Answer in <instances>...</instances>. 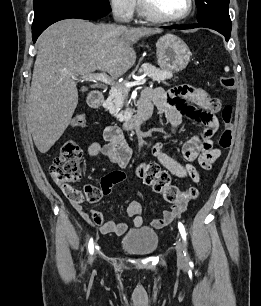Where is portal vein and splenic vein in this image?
<instances>
[{
	"mask_svg": "<svg viewBox=\"0 0 261 306\" xmlns=\"http://www.w3.org/2000/svg\"><path fill=\"white\" fill-rule=\"evenodd\" d=\"M72 79H79V80H88V81H100L104 84H108L111 85L112 87L116 86V83L114 81V79H112L111 77H109L106 73L101 72V73H89L80 77H76V76H71ZM146 83V79H140L137 81H133V82H127L125 83V87H132V86H137V85H142Z\"/></svg>",
	"mask_w": 261,
	"mask_h": 306,
	"instance_id": "18ae733b",
	"label": "portal vein and splenic vein"
}]
</instances>
